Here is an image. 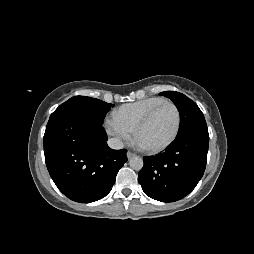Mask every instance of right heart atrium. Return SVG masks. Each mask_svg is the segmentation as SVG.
<instances>
[{
  "mask_svg": "<svg viewBox=\"0 0 254 254\" xmlns=\"http://www.w3.org/2000/svg\"><path fill=\"white\" fill-rule=\"evenodd\" d=\"M104 130L118 146L130 142L134 136V130L124 125L114 115L105 119Z\"/></svg>",
  "mask_w": 254,
  "mask_h": 254,
  "instance_id": "right-heart-atrium-1",
  "label": "right heart atrium"
}]
</instances>
